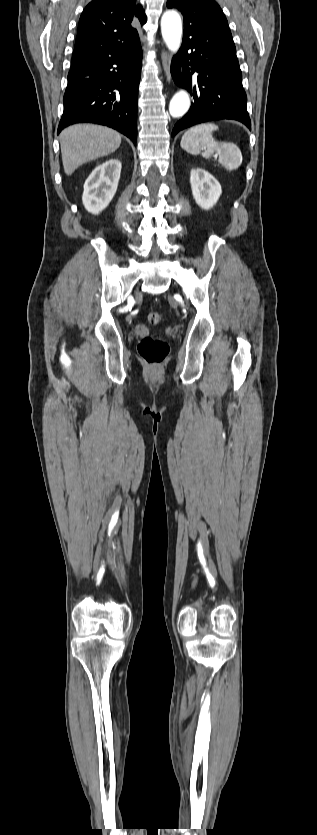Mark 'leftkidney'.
I'll list each match as a JSON object with an SVG mask.
<instances>
[{
	"label": "left kidney",
	"instance_id": "obj_1",
	"mask_svg": "<svg viewBox=\"0 0 317 835\" xmlns=\"http://www.w3.org/2000/svg\"><path fill=\"white\" fill-rule=\"evenodd\" d=\"M190 184L195 202L204 210L211 209L222 193L216 178L202 168L191 170Z\"/></svg>",
	"mask_w": 317,
	"mask_h": 835
}]
</instances>
